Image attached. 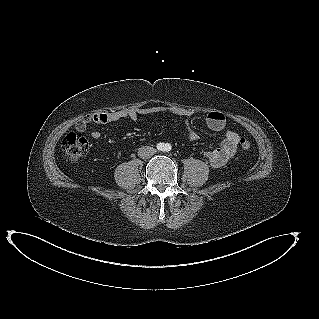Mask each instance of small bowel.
<instances>
[{
  "mask_svg": "<svg viewBox=\"0 0 319 319\" xmlns=\"http://www.w3.org/2000/svg\"><path fill=\"white\" fill-rule=\"evenodd\" d=\"M150 114H167L182 117L184 119L185 133L188 140H198V133L191 128L189 123L192 112L188 109L170 106L139 107L112 112L95 113L79 121L76 124V129L79 132H85L89 124L92 123L112 124L125 119L135 121L140 116ZM205 123L209 129L224 133L220 146L216 149L205 151L204 153V156L213 168L222 167L234 156L240 137L236 131L226 129V118L222 112L211 111L207 113ZM90 135L95 141H98L101 138V133L97 130L92 131Z\"/></svg>",
  "mask_w": 319,
  "mask_h": 319,
  "instance_id": "1",
  "label": "small bowel"
}]
</instances>
